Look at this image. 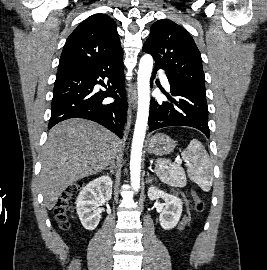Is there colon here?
Instances as JSON below:
<instances>
[{
  "label": "colon",
  "mask_w": 267,
  "mask_h": 270,
  "mask_svg": "<svg viewBox=\"0 0 267 270\" xmlns=\"http://www.w3.org/2000/svg\"><path fill=\"white\" fill-rule=\"evenodd\" d=\"M82 183H76L64 190V192L59 197L55 206V218L59 226L66 230L70 227V219L73 212V204L75 202L76 195L81 189ZM192 199L194 202V207L196 212L201 213L204 210V203L198 196V194L193 191Z\"/></svg>",
  "instance_id": "5ec220e1"
}]
</instances>
